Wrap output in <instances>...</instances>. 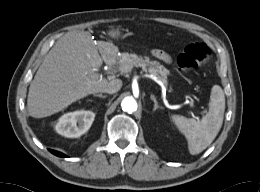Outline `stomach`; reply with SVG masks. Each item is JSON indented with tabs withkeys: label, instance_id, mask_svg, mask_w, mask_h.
I'll return each mask as SVG.
<instances>
[{
	"label": "stomach",
	"instance_id": "stomach-1",
	"mask_svg": "<svg viewBox=\"0 0 260 192\" xmlns=\"http://www.w3.org/2000/svg\"><path fill=\"white\" fill-rule=\"evenodd\" d=\"M120 33L119 31H113V37H119Z\"/></svg>",
	"mask_w": 260,
	"mask_h": 192
}]
</instances>
